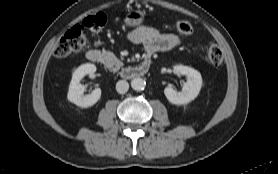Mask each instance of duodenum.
I'll list each match as a JSON object with an SVG mask.
<instances>
[{
	"mask_svg": "<svg viewBox=\"0 0 278 174\" xmlns=\"http://www.w3.org/2000/svg\"><path fill=\"white\" fill-rule=\"evenodd\" d=\"M86 57L93 63H98L101 59V54L98 50H88ZM150 68V60H145L137 66L126 67L121 71V76L127 79H133L145 75Z\"/></svg>",
	"mask_w": 278,
	"mask_h": 174,
	"instance_id": "1",
	"label": "duodenum"
}]
</instances>
